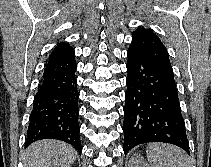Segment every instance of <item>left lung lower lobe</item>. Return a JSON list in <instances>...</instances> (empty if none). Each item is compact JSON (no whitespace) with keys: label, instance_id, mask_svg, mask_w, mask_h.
<instances>
[{"label":"left lung lower lobe","instance_id":"obj_1","mask_svg":"<svg viewBox=\"0 0 211 167\" xmlns=\"http://www.w3.org/2000/svg\"><path fill=\"white\" fill-rule=\"evenodd\" d=\"M124 107L125 155L148 142H166L188 154V139L174 77L146 54L127 51Z\"/></svg>","mask_w":211,"mask_h":167}]
</instances>
